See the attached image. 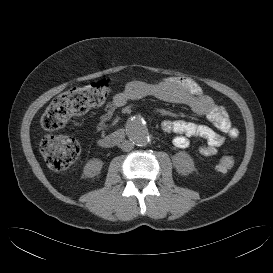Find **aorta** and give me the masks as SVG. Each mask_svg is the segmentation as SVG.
<instances>
[{
    "label": "aorta",
    "mask_w": 273,
    "mask_h": 273,
    "mask_svg": "<svg viewBox=\"0 0 273 273\" xmlns=\"http://www.w3.org/2000/svg\"><path fill=\"white\" fill-rule=\"evenodd\" d=\"M127 132L137 146H146L150 142V134L146 124L139 118L130 120L127 125Z\"/></svg>",
    "instance_id": "1"
}]
</instances>
